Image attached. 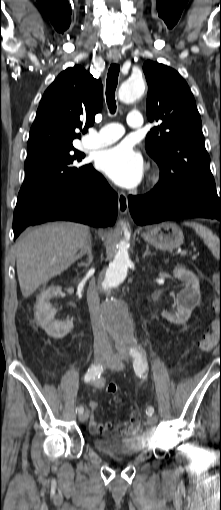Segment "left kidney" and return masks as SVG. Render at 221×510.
Here are the masks:
<instances>
[{
    "label": "left kidney",
    "mask_w": 221,
    "mask_h": 510,
    "mask_svg": "<svg viewBox=\"0 0 221 510\" xmlns=\"http://www.w3.org/2000/svg\"><path fill=\"white\" fill-rule=\"evenodd\" d=\"M175 278L185 283V288L177 294V311H163L162 317L173 324H185L193 309L200 302V287L197 277L185 267L177 266L173 270Z\"/></svg>",
    "instance_id": "left-kidney-1"
}]
</instances>
